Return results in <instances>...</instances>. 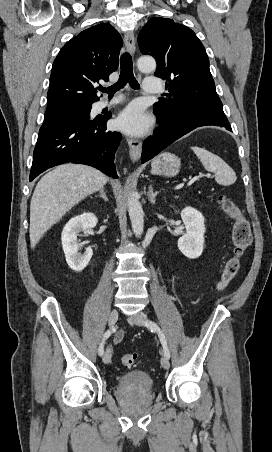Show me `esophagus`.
Listing matches in <instances>:
<instances>
[{"instance_id":"obj_1","label":"esophagus","mask_w":272,"mask_h":452,"mask_svg":"<svg viewBox=\"0 0 272 452\" xmlns=\"http://www.w3.org/2000/svg\"><path fill=\"white\" fill-rule=\"evenodd\" d=\"M126 48L131 54L135 53V38L133 32H126L124 35ZM129 154L133 161H138L141 155L142 143L138 139L127 138Z\"/></svg>"}]
</instances>
